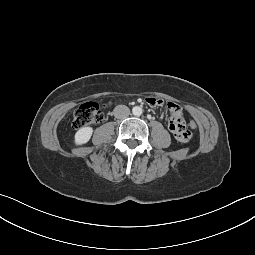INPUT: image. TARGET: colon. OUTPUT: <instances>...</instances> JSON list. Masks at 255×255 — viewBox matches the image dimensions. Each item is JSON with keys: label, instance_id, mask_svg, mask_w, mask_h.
I'll return each instance as SVG.
<instances>
[{"label": "colon", "instance_id": "1", "mask_svg": "<svg viewBox=\"0 0 255 255\" xmlns=\"http://www.w3.org/2000/svg\"><path fill=\"white\" fill-rule=\"evenodd\" d=\"M102 120H103V113L101 111L100 106L95 102H87L80 105L74 112L73 126L74 128H81L89 124L100 123ZM188 125L192 130L198 129V124L194 119H191L188 122ZM187 130L190 133V138H189L190 140L192 134H191V131L188 129V127H187Z\"/></svg>", "mask_w": 255, "mask_h": 255}]
</instances>
